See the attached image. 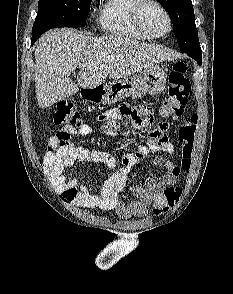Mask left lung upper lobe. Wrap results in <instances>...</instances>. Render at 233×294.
<instances>
[{
    "label": "left lung upper lobe",
    "mask_w": 233,
    "mask_h": 294,
    "mask_svg": "<svg viewBox=\"0 0 233 294\" xmlns=\"http://www.w3.org/2000/svg\"><path fill=\"white\" fill-rule=\"evenodd\" d=\"M167 11L174 25L175 35L182 52L202 63V52L195 26L191 0H157Z\"/></svg>",
    "instance_id": "1"
}]
</instances>
